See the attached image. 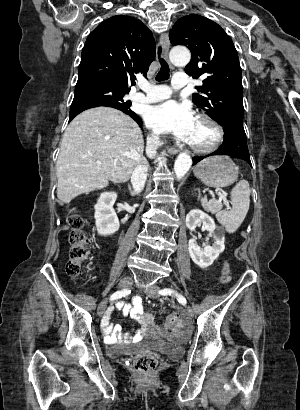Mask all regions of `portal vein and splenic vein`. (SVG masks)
I'll list each match as a JSON object with an SVG mask.
<instances>
[{"label": "portal vein and splenic vein", "mask_w": 300, "mask_h": 410, "mask_svg": "<svg viewBox=\"0 0 300 410\" xmlns=\"http://www.w3.org/2000/svg\"><path fill=\"white\" fill-rule=\"evenodd\" d=\"M97 164H101V162L100 161H97ZM219 196V199H225L226 198V195L225 194H219L218 195Z\"/></svg>", "instance_id": "obj_1"}]
</instances>
